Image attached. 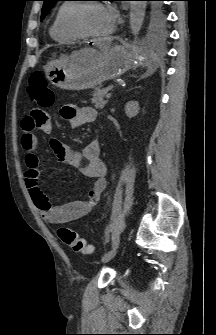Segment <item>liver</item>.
Here are the masks:
<instances>
[{
  "label": "liver",
  "mask_w": 216,
  "mask_h": 335,
  "mask_svg": "<svg viewBox=\"0 0 216 335\" xmlns=\"http://www.w3.org/2000/svg\"><path fill=\"white\" fill-rule=\"evenodd\" d=\"M106 50H107V48L101 50V52H104V51H106ZM76 62H77L79 65H83V64H87V63H89V62H90V59H89V58H84V57H82L81 55H79V56L76 58Z\"/></svg>",
  "instance_id": "obj_1"
}]
</instances>
